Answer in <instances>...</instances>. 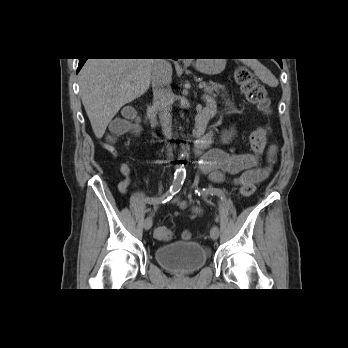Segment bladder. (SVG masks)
Returning <instances> with one entry per match:
<instances>
[{
	"label": "bladder",
	"mask_w": 348,
	"mask_h": 348,
	"mask_svg": "<svg viewBox=\"0 0 348 348\" xmlns=\"http://www.w3.org/2000/svg\"><path fill=\"white\" fill-rule=\"evenodd\" d=\"M158 263L178 275L192 274L200 269L209 257V250L199 243L175 241L155 250Z\"/></svg>",
	"instance_id": "31cf9c89"
}]
</instances>
